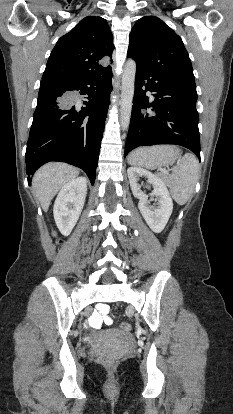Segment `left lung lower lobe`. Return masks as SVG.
<instances>
[{"mask_svg": "<svg viewBox=\"0 0 233 414\" xmlns=\"http://www.w3.org/2000/svg\"><path fill=\"white\" fill-rule=\"evenodd\" d=\"M155 92L150 102L145 95ZM197 92L193 82L160 79L137 68L135 93L124 157L139 146L176 144L190 149L200 159ZM152 107L155 115L141 109Z\"/></svg>", "mask_w": 233, "mask_h": 414, "instance_id": "left-lung-lower-lobe-1", "label": "left lung lower lobe"}]
</instances>
